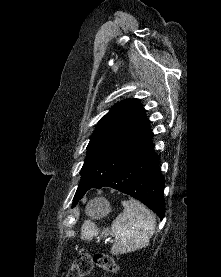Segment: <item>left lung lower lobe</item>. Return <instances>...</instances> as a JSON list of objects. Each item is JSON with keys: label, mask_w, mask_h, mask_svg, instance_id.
<instances>
[{"label": "left lung lower lobe", "mask_w": 221, "mask_h": 277, "mask_svg": "<svg viewBox=\"0 0 221 277\" xmlns=\"http://www.w3.org/2000/svg\"><path fill=\"white\" fill-rule=\"evenodd\" d=\"M158 165L159 157L154 152V145L150 142L114 173L76 196L73 200V207L89 189L111 187L138 199L162 220L165 215L164 177Z\"/></svg>", "instance_id": "1"}]
</instances>
